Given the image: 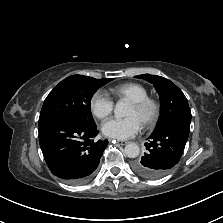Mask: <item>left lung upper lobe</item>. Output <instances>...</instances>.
I'll return each instance as SVG.
<instances>
[{"instance_id":"left-lung-upper-lobe-1","label":"left lung upper lobe","mask_w":223,"mask_h":223,"mask_svg":"<svg viewBox=\"0 0 223 223\" xmlns=\"http://www.w3.org/2000/svg\"><path fill=\"white\" fill-rule=\"evenodd\" d=\"M152 83L160 96V117L154 132L171 125L181 124L190 128L191 111L183 92L170 80L156 75L135 76Z\"/></svg>"}]
</instances>
